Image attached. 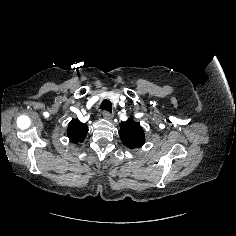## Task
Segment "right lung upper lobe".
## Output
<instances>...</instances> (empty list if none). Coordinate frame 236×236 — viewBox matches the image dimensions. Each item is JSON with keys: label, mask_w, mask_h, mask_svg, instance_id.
<instances>
[{"label": "right lung upper lobe", "mask_w": 236, "mask_h": 236, "mask_svg": "<svg viewBox=\"0 0 236 236\" xmlns=\"http://www.w3.org/2000/svg\"><path fill=\"white\" fill-rule=\"evenodd\" d=\"M87 132H88V128L86 124L73 119L69 123L67 136L69 137L71 142L78 143L85 139Z\"/></svg>", "instance_id": "cb5924a9"}]
</instances>
